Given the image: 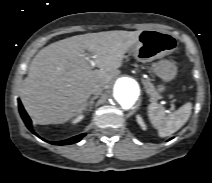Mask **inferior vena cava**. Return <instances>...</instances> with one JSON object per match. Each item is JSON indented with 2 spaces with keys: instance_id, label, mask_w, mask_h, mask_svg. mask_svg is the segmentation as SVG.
I'll list each match as a JSON object with an SVG mask.
<instances>
[{
  "instance_id": "inferior-vena-cava-1",
  "label": "inferior vena cava",
  "mask_w": 212,
  "mask_h": 183,
  "mask_svg": "<svg viewBox=\"0 0 212 183\" xmlns=\"http://www.w3.org/2000/svg\"><path fill=\"white\" fill-rule=\"evenodd\" d=\"M104 87H105V86H104L103 84H96V85L92 88L91 93L94 94V95H99V94L102 93Z\"/></svg>"
}]
</instances>
